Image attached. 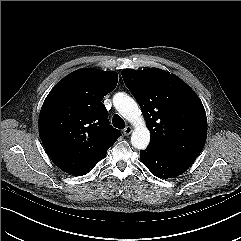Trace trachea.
Here are the masks:
<instances>
[{"instance_id": "trachea-1", "label": "trachea", "mask_w": 241, "mask_h": 241, "mask_svg": "<svg viewBox=\"0 0 241 241\" xmlns=\"http://www.w3.org/2000/svg\"><path fill=\"white\" fill-rule=\"evenodd\" d=\"M112 124L114 127L123 129L125 128V122L119 115H114L112 119Z\"/></svg>"}]
</instances>
